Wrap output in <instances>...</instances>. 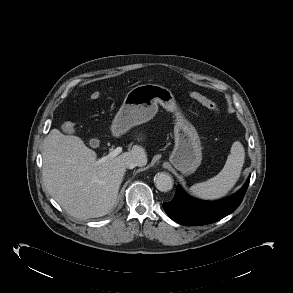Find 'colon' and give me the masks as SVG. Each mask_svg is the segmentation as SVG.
Segmentation results:
<instances>
[{
  "instance_id": "5ec220e1",
  "label": "colon",
  "mask_w": 293,
  "mask_h": 293,
  "mask_svg": "<svg viewBox=\"0 0 293 293\" xmlns=\"http://www.w3.org/2000/svg\"><path fill=\"white\" fill-rule=\"evenodd\" d=\"M190 97L197 101L198 103H200L202 106H204L205 108H207L208 110L214 112V113H219V106L212 101L211 99H209L208 97H206L205 95L197 92V91H192L190 92ZM100 97V92L98 91H94L91 93L90 98L95 100L98 99ZM62 130L66 133H70L73 131V124L71 122H65L62 125Z\"/></svg>"
}]
</instances>
